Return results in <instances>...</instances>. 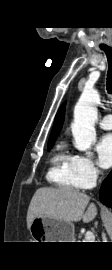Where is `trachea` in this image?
Segmentation results:
<instances>
[{"label":"trachea","instance_id":"obj_1","mask_svg":"<svg viewBox=\"0 0 112 270\" xmlns=\"http://www.w3.org/2000/svg\"><path fill=\"white\" fill-rule=\"evenodd\" d=\"M106 55H107V59H108V73H107V82H106V86H107V91L108 93L112 94V48H102Z\"/></svg>","mask_w":112,"mask_h":270}]
</instances>
